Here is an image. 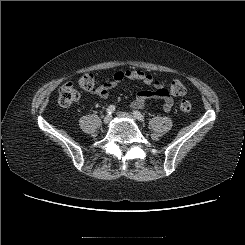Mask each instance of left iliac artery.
I'll return each instance as SVG.
<instances>
[{
  "mask_svg": "<svg viewBox=\"0 0 245 245\" xmlns=\"http://www.w3.org/2000/svg\"><path fill=\"white\" fill-rule=\"evenodd\" d=\"M134 117H136V119H138L141 122L145 121L144 116L139 112V111H134L133 112Z\"/></svg>",
  "mask_w": 245,
  "mask_h": 245,
  "instance_id": "44dca946",
  "label": "left iliac artery"
}]
</instances>
